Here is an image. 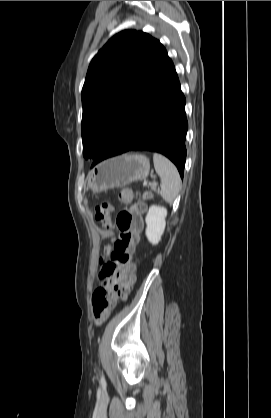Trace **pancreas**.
I'll list each match as a JSON object with an SVG mask.
<instances>
[{
	"mask_svg": "<svg viewBox=\"0 0 271 418\" xmlns=\"http://www.w3.org/2000/svg\"><path fill=\"white\" fill-rule=\"evenodd\" d=\"M151 190L154 192H159V189H157V187L155 185H150Z\"/></svg>",
	"mask_w": 271,
	"mask_h": 418,
	"instance_id": "1",
	"label": "pancreas"
}]
</instances>
